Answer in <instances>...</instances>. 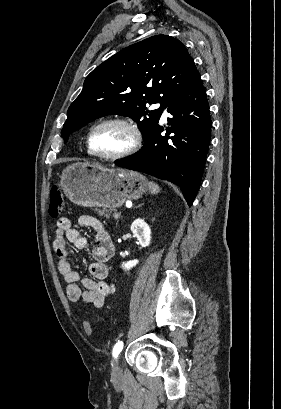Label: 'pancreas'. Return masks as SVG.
<instances>
[{
	"label": "pancreas",
	"instance_id": "1",
	"mask_svg": "<svg viewBox=\"0 0 281 409\" xmlns=\"http://www.w3.org/2000/svg\"><path fill=\"white\" fill-rule=\"evenodd\" d=\"M105 213H108V211H105V209H104V211H101L100 215H105ZM105 217H107V219H109L108 215H105Z\"/></svg>",
	"mask_w": 281,
	"mask_h": 409
}]
</instances>
